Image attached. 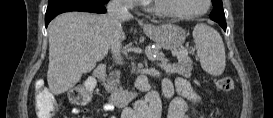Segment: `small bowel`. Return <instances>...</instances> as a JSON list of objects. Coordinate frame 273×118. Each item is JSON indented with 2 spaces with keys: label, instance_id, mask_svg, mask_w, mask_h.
<instances>
[{
  "label": "small bowel",
  "instance_id": "1",
  "mask_svg": "<svg viewBox=\"0 0 273 118\" xmlns=\"http://www.w3.org/2000/svg\"><path fill=\"white\" fill-rule=\"evenodd\" d=\"M161 88L164 98L169 101L166 118H189V104H195L199 101V96L190 83L181 77L177 78L174 82L168 78H164L161 82ZM175 93H177V96H174ZM102 110L108 111L109 106H103ZM140 111L147 118H161V101L159 97L151 95L149 105L141 107ZM72 112L75 115H81L84 113V110L74 108Z\"/></svg>",
  "mask_w": 273,
  "mask_h": 118
}]
</instances>
